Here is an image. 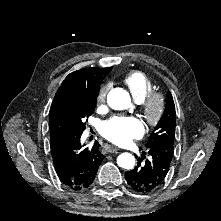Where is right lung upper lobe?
<instances>
[{
    "label": "right lung upper lobe",
    "mask_w": 221,
    "mask_h": 221,
    "mask_svg": "<svg viewBox=\"0 0 221 221\" xmlns=\"http://www.w3.org/2000/svg\"><path fill=\"white\" fill-rule=\"evenodd\" d=\"M111 71L108 68H84L70 73L61 86L59 87L49 113V123L51 134L58 131H64L63 136L67 133V115L64 107V97L69 93H84L92 97L98 96L100 84L104 77ZM58 141V137L53 138L50 145Z\"/></svg>",
    "instance_id": "cb5924a9"
}]
</instances>
